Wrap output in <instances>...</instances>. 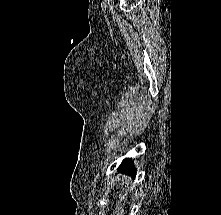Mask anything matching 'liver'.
<instances>
[{"label": "liver", "instance_id": "obj_1", "mask_svg": "<svg viewBox=\"0 0 221 215\" xmlns=\"http://www.w3.org/2000/svg\"><path fill=\"white\" fill-rule=\"evenodd\" d=\"M121 185H125V183H121ZM126 196H127V190H125V192L123 194H119L118 197L120 199V201L117 202V206H116V210L114 213H117V215H123L124 214V204H120V202L122 200H126ZM112 215H115V214H112Z\"/></svg>", "mask_w": 221, "mask_h": 215}]
</instances>
